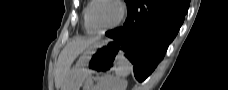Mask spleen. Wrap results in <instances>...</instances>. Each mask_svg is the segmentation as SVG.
I'll use <instances>...</instances> for the list:
<instances>
[{"instance_id":"3e777b00","label":"spleen","mask_w":228,"mask_h":90,"mask_svg":"<svg viewBox=\"0 0 228 90\" xmlns=\"http://www.w3.org/2000/svg\"><path fill=\"white\" fill-rule=\"evenodd\" d=\"M133 67L130 62L121 53L117 59V65L115 67V75L119 78L127 77L132 72Z\"/></svg>"}]
</instances>
